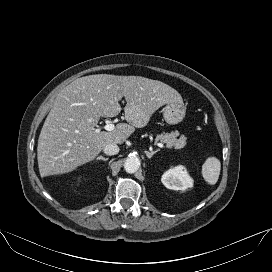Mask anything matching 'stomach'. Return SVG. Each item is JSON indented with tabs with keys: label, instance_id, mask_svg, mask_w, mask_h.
<instances>
[{
	"label": "stomach",
	"instance_id": "stomach-1",
	"mask_svg": "<svg viewBox=\"0 0 272 272\" xmlns=\"http://www.w3.org/2000/svg\"><path fill=\"white\" fill-rule=\"evenodd\" d=\"M186 114V107L183 102L168 103L163 109L164 120L170 124L175 125L180 123Z\"/></svg>",
	"mask_w": 272,
	"mask_h": 272
}]
</instances>
